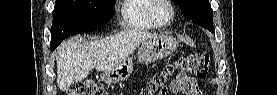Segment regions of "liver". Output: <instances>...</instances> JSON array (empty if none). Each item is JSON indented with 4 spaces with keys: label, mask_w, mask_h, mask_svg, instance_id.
Here are the masks:
<instances>
[{
    "label": "liver",
    "mask_w": 277,
    "mask_h": 95,
    "mask_svg": "<svg viewBox=\"0 0 277 95\" xmlns=\"http://www.w3.org/2000/svg\"><path fill=\"white\" fill-rule=\"evenodd\" d=\"M142 30H125L112 36L82 42L71 38L63 43L57 52V85L67 90L74 82L87 78L95 68L106 72L126 60L145 40L154 37Z\"/></svg>",
    "instance_id": "liver-1"
}]
</instances>
